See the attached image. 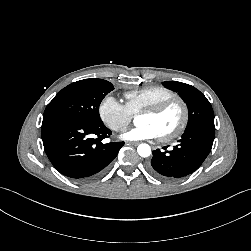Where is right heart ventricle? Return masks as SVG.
Returning <instances> with one entry per match:
<instances>
[{
    "label": "right heart ventricle",
    "mask_w": 251,
    "mask_h": 251,
    "mask_svg": "<svg viewBox=\"0 0 251 251\" xmlns=\"http://www.w3.org/2000/svg\"><path fill=\"white\" fill-rule=\"evenodd\" d=\"M126 106L132 114H137L141 110L158 104L164 100L175 97V93L164 86H150L124 94Z\"/></svg>",
    "instance_id": "obj_1"
}]
</instances>
